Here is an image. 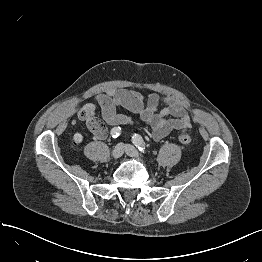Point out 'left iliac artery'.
<instances>
[{
	"label": "left iliac artery",
	"mask_w": 262,
	"mask_h": 262,
	"mask_svg": "<svg viewBox=\"0 0 262 262\" xmlns=\"http://www.w3.org/2000/svg\"><path fill=\"white\" fill-rule=\"evenodd\" d=\"M132 141L135 144V146L138 148V150L141 153H144L146 155L145 142H144L143 138L140 135H138V134H134L132 136Z\"/></svg>",
	"instance_id": "obj_1"
}]
</instances>
